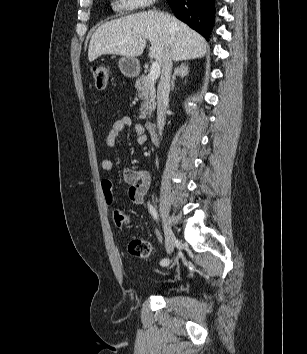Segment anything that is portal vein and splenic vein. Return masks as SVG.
Masks as SVG:
<instances>
[{"mask_svg": "<svg viewBox=\"0 0 307 354\" xmlns=\"http://www.w3.org/2000/svg\"><path fill=\"white\" fill-rule=\"evenodd\" d=\"M160 75V65L157 61H154L151 65L149 79L155 81Z\"/></svg>", "mask_w": 307, "mask_h": 354, "instance_id": "obj_1", "label": "portal vein and splenic vein"}]
</instances>
